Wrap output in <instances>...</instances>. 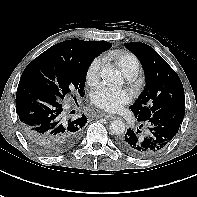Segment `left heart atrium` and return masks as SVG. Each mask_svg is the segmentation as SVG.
<instances>
[{
    "label": "left heart atrium",
    "instance_id": "1",
    "mask_svg": "<svg viewBox=\"0 0 197 197\" xmlns=\"http://www.w3.org/2000/svg\"><path fill=\"white\" fill-rule=\"evenodd\" d=\"M132 99L126 89H116L109 86H101L93 92L91 101L94 106L107 112H117Z\"/></svg>",
    "mask_w": 197,
    "mask_h": 197
}]
</instances>
